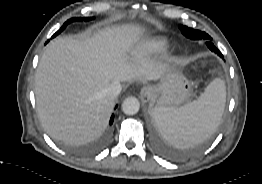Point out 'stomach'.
Wrapping results in <instances>:
<instances>
[{"instance_id": "stomach-1", "label": "stomach", "mask_w": 262, "mask_h": 184, "mask_svg": "<svg viewBox=\"0 0 262 184\" xmlns=\"http://www.w3.org/2000/svg\"><path fill=\"white\" fill-rule=\"evenodd\" d=\"M149 90L157 106L177 108L189 101L192 83L182 73L171 71L157 85L149 87Z\"/></svg>"}]
</instances>
